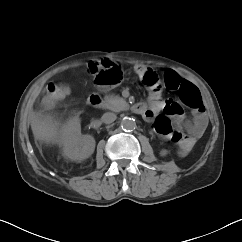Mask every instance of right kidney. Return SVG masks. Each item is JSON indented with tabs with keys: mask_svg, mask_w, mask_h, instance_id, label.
<instances>
[{
	"mask_svg": "<svg viewBox=\"0 0 242 242\" xmlns=\"http://www.w3.org/2000/svg\"><path fill=\"white\" fill-rule=\"evenodd\" d=\"M61 144L63 155L73 161L90 157L95 149V139L91 135H81L80 119L70 118L62 128Z\"/></svg>",
	"mask_w": 242,
	"mask_h": 242,
	"instance_id": "right-kidney-1",
	"label": "right kidney"
}]
</instances>
